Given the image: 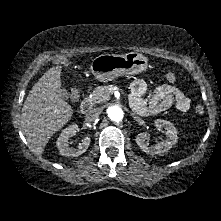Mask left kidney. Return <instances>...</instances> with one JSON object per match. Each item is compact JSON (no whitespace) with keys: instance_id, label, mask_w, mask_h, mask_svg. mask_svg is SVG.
Returning a JSON list of instances; mask_svg holds the SVG:
<instances>
[{"instance_id":"left-kidney-1","label":"left kidney","mask_w":221,"mask_h":221,"mask_svg":"<svg viewBox=\"0 0 221 221\" xmlns=\"http://www.w3.org/2000/svg\"><path fill=\"white\" fill-rule=\"evenodd\" d=\"M155 126L159 130L161 129L166 130L167 139L165 141L158 143L155 146L149 147L146 143V139H147L146 133H139L136 136L137 145L140 147L142 151L150 155L162 154L164 152H167L178 141L177 130L170 121L157 119L155 121Z\"/></svg>"}]
</instances>
